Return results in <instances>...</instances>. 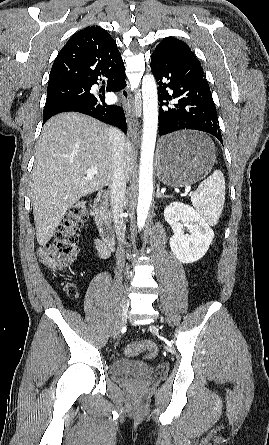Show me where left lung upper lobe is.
<instances>
[{
	"label": "left lung upper lobe",
	"mask_w": 269,
	"mask_h": 445,
	"mask_svg": "<svg viewBox=\"0 0 269 445\" xmlns=\"http://www.w3.org/2000/svg\"><path fill=\"white\" fill-rule=\"evenodd\" d=\"M153 53L169 55L173 57L194 56L189 46L174 37H167L158 44Z\"/></svg>",
	"instance_id": "left-lung-upper-lobe-1"
}]
</instances>
